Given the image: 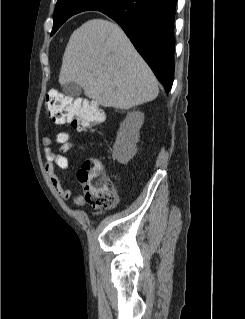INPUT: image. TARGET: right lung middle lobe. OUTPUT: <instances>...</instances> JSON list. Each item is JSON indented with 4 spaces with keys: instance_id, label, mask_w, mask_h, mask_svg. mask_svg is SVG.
I'll list each match as a JSON object with an SVG mask.
<instances>
[{
    "instance_id": "1",
    "label": "right lung middle lobe",
    "mask_w": 245,
    "mask_h": 319,
    "mask_svg": "<svg viewBox=\"0 0 245 319\" xmlns=\"http://www.w3.org/2000/svg\"><path fill=\"white\" fill-rule=\"evenodd\" d=\"M122 0H83L80 7L83 11L87 10H102L117 5ZM72 3L69 1L61 0L58 1L55 8L53 29L51 35H53L57 29L64 23L69 14V7Z\"/></svg>"
}]
</instances>
